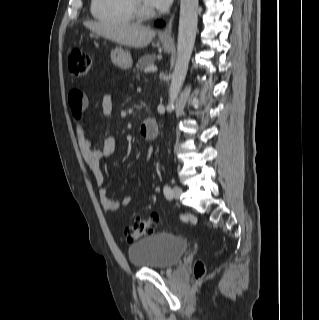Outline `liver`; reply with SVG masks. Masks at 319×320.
Listing matches in <instances>:
<instances>
[{
  "mask_svg": "<svg viewBox=\"0 0 319 320\" xmlns=\"http://www.w3.org/2000/svg\"><path fill=\"white\" fill-rule=\"evenodd\" d=\"M83 24L100 36L134 48L147 46L156 35L153 29L138 24L92 21H86Z\"/></svg>",
  "mask_w": 319,
  "mask_h": 320,
  "instance_id": "liver-1",
  "label": "liver"
}]
</instances>
